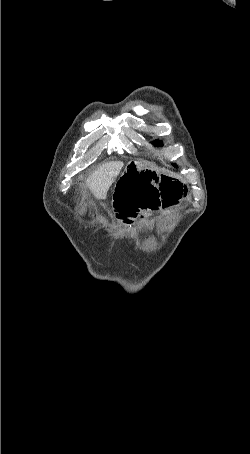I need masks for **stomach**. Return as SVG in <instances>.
I'll use <instances>...</instances> for the list:
<instances>
[{
    "label": "stomach",
    "mask_w": 250,
    "mask_h": 454,
    "mask_svg": "<svg viewBox=\"0 0 250 454\" xmlns=\"http://www.w3.org/2000/svg\"><path fill=\"white\" fill-rule=\"evenodd\" d=\"M121 176H157V173L155 171L147 169L138 162H130L126 166Z\"/></svg>",
    "instance_id": "stomach-1"
}]
</instances>
